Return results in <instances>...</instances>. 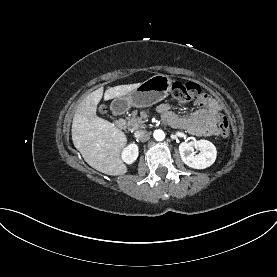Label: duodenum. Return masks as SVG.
<instances>
[{
    "label": "duodenum",
    "instance_id": "duodenum-1",
    "mask_svg": "<svg viewBox=\"0 0 277 277\" xmlns=\"http://www.w3.org/2000/svg\"><path fill=\"white\" fill-rule=\"evenodd\" d=\"M114 113L118 116H120L122 113H123V110L120 109V108H115L114 109ZM115 126L119 129H122L125 127V121L122 119V118H119L117 119L115 122H114Z\"/></svg>",
    "mask_w": 277,
    "mask_h": 277
}]
</instances>
